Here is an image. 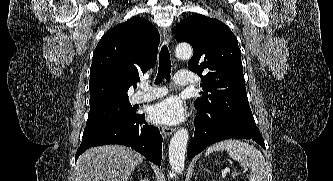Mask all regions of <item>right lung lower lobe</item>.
<instances>
[{
    "mask_svg": "<svg viewBox=\"0 0 333 181\" xmlns=\"http://www.w3.org/2000/svg\"><path fill=\"white\" fill-rule=\"evenodd\" d=\"M120 144L133 148L160 167L162 137L157 127L145 122L144 115L136 114L85 130L76 157L94 146Z\"/></svg>",
    "mask_w": 333,
    "mask_h": 181,
    "instance_id": "98d812e1",
    "label": "right lung lower lobe"
}]
</instances>
